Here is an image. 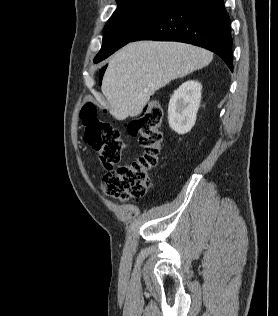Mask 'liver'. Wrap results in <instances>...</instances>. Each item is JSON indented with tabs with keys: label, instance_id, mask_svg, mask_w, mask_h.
<instances>
[{
	"label": "liver",
	"instance_id": "liver-1",
	"mask_svg": "<svg viewBox=\"0 0 278 316\" xmlns=\"http://www.w3.org/2000/svg\"><path fill=\"white\" fill-rule=\"evenodd\" d=\"M213 54L178 42L129 43L110 59L101 90L117 120L141 114L150 97L172 80L211 63Z\"/></svg>",
	"mask_w": 278,
	"mask_h": 316
}]
</instances>
